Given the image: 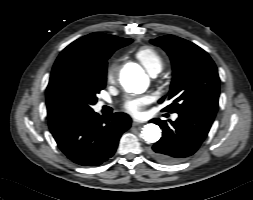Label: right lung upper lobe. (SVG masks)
Listing matches in <instances>:
<instances>
[{
	"instance_id": "1",
	"label": "right lung upper lobe",
	"mask_w": 253,
	"mask_h": 200,
	"mask_svg": "<svg viewBox=\"0 0 253 200\" xmlns=\"http://www.w3.org/2000/svg\"><path fill=\"white\" fill-rule=\"evenodd\" d=\"M128 38H120L100 32H94L77 39L68 45L58 56L47 87L48 118L64 116L59 110L54 96V80L57 72L65 65L78 64L83 66L101 65L107 53Z\"/></svg>"
}]
</instances>
